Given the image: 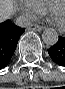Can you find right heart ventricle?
Wrapping results in <instances>:
<instances>
[{
  "mask_svg": "<svg viewBox=\"0 0 65 89\" xmlns=\"http://www.w3.org/2000/svg\"><path fill=\"white\" fill-rule=\"evenodd\" d=\"M57 0H28V3L40 14L48 11L51 4Z\"/></svg>",
  "mask_w": 65,
  "mask_h": 89,
  "instance_id": "obj_1",
  "label": "right heart ventricle"
}]
</instances>
